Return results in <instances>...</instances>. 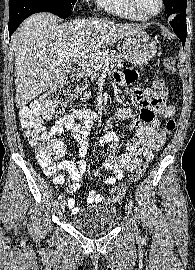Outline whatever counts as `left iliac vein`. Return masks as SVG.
Wrapping results in <instances>:
<instances>
[{
	"instance_id": "4c4485c4",
	"label": "left iliac vein",
	"mask_w": 195,
	"mask_h": 270,
	"mask_svg": "<svg viewBox=\"0 0 195 270\" xmlns=\"http://www.w3.org/2000/svg\"><path fill=\"white\" fill-rule=\"evenodd\" d=\"M125 211H126V215L128 216L129 218V221L131 223V227H132V230L135 231L136 230V224H135V221L133 219V213H132V208L130 205H127L125 207Z\"/></svg>"
}]
</instances>
